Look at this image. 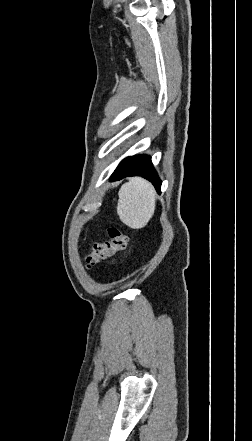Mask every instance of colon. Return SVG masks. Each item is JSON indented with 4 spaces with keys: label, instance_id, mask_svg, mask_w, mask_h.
Wrapping results in <instances>:
<instances>
[{
    "label": "colon",
    "instance_id": "5ec220e1",
    "mask_svg": "<svg viewBox=\"0 0 252 441\" xmlns=\"http://www.w3.org/2000/svg\"><path fill=\"white\" fill-rule=\"evenodd\" d=\"M108 236V240L92 245L91 250L84 257L86 267L92 268L126 248L128 239L122 230L111 227L108 229Z\"/></svg>",
    "mask_w": 252,
    "mask_h": 441
}]
</instances>
